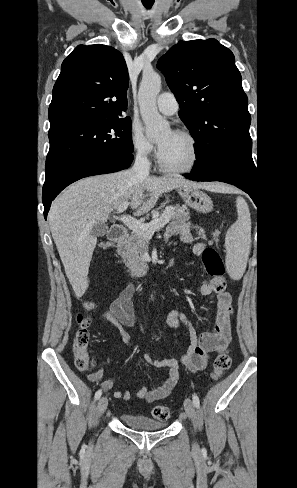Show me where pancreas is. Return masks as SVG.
Here are the masks:
<instances>
[{
    "label": "pancreas",
    "instance_id": "1",
    "mask_svg": "<svg viewBox=\"0 0 297 488\" xmlns=\"http://www.w3.org/2000/svg\"><path fill=\"white\" fill-rule=\"evenodd\" d=\"M169 212V221L172 224H183L190 219V213L185 207L172 206ZM157 214V212H154ZM145 237L133 231L128 238L119 243L117 250L122 257L125 266L133 272L145 267L143 252L145 247Z\"/></svg>",
    "mask_w": 297,
    "mask_h": 488
}]
</instances>
